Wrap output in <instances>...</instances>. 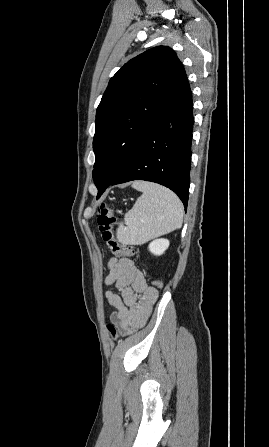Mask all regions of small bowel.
I'll use <instances>...</instances> for the list:
<instances>
[{"label":"small bowel","mask_w":269,"mask_h":447,"mask_svg":"<svg viewBox=\"0 0 269 447\" xmlns=\"http://www.w3.org/2000/svg\"><path fill=\"white\" fill-rule=\"evenodd\" d=\"M105 284H114L118 293L105 292L109 304L116 310L110 315L112 323L119 329H131L145 325L158 299V291L150 286L142 271L127 258L109 262Z\"/></svg>","instance_id":"1"}]
</instances>
